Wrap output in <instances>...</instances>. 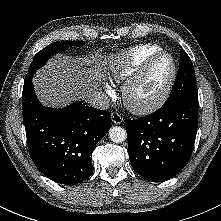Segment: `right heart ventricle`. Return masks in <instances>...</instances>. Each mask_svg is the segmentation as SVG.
<instances>
[{"label":"right heart ventricle","instance_id":"e07e8e85","mask_svg":"<svg viewBox=\"0 0 221 221\" xmlns=\"http://www.w3.org/2000/svg\"><path fill=\"white\" fill-rule=\"evenodd\" d=\"M161 51L157 44H141L122 51L111 57L109 74L114 81L124 82L131 76L152 54Z\"/></svg>","mask_w":221,"mask_h":221}]
</instances>
